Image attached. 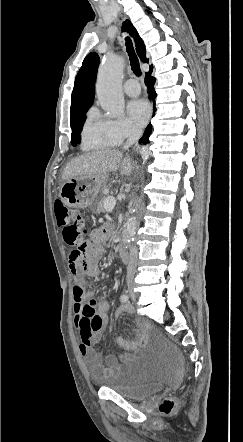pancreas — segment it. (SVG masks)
<instances>
[{
	"label": "pancreas",
	"mask_w": 243,
	"mask_h": 442,
	"mask_svg": "<svg viewBox=\"0 0 243 442\" xmlns=\"http://www.w3.org/2000/svg\"><path fill=\"white\" fill-rule=\"evenodd\" d=\"M106 191V190H105ZM113 197L109 196V197H103L98 203H97V209L96 212L97 213H104L106 211L105 207H104V203L107 200L112 199Z\"/></svg>",
	"instance_id": "cf45deb5"
}]
</instances>
